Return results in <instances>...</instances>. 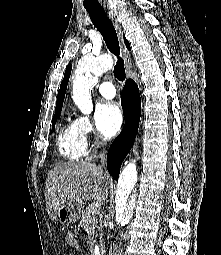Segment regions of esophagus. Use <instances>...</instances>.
Listing matches in <instances>:
<instances>
[{"mask_svg": "<svg viewBox=\"0 0 221 255\" xmlns=\"http://www.w3.org/2000/svg\"><path fill=\"white\" fill-rule=\"evenodd\" d=\"M106 11H107V14L110 17V19L115 23V27L118 31L120 48H121V51H122V54H123V58H124V62H125V68H126L127 74L129 75L131 73V70H132V60H131V56H130L129 51L127 50V48L124 44L121 27H120V25H119V23L116 19L115 12L110 8H107Z\"/></svg>", "mask_w": 221, "mask_h": 255, "instance_id": "esophagus-1", "label": "esophagus"}]
</instances>
